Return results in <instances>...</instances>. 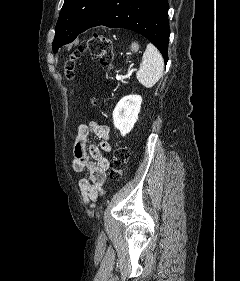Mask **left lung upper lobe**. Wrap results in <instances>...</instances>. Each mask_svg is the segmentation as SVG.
<instances>
[{
	"mask_svg": "<svg viewBox=\"0 0 240 281\" xmlns=\"http://www.w3.org/2000/svg\"><path fill=\"white\" fill-rule=\"evenodd\" d=\"M103 0H65L55 28L53 52L72 42Z\"/></svg>",
	"mask_w": 240,
	"mask_h": 281,
	"instance_id": "left-lung-upper-lobe-1",
	"label": "left lung upper lobe"
}]
</instances>
